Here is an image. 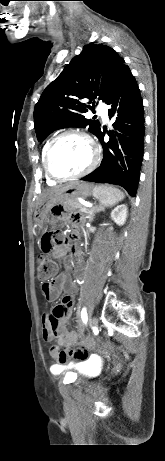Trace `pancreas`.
<instances>
[{
    "label": "pancreas",
    "mask_w": 165,
    "mask_h": 461,
    "mask_svg": "<svg viewBox=\"0 0 165 461\" xmlns=\"http://www.w3.org/2000/svg\"><path fill=\"white\" fill-rule=\"evenodd\" d=\"M64 209L68 212H76L83 207L76 198H68L64 201Z\"/></svg>",
    "instance_id": "pancreas-1"
}]
</instances>
